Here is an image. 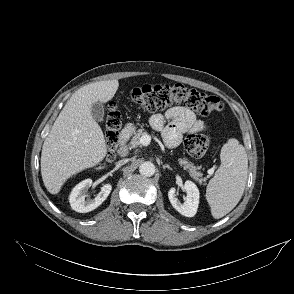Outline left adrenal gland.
<instances>
[{"label": "left adrenal gland", "instance_id": "obj_1", "mask_svg": "<svg viewBox=\"0 0 294 294\" xmlns=\"http://www.w3.org/2000/svg\"><path fill=\"white\" fill-rule=\"evenodd\" d=\"M162 167H163V169H166V168H167V169H169V170H173V169H172L169 165H167V164H165V165L163 164Z\"/></svg>", "mask_w": 294, "mask_h": 294}]
</instances>
